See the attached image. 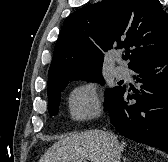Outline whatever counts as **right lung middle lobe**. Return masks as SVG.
Here are the masks:
<instances>
[{"label": "right lung middle lobe", "instance_id": "obj_1", "mask_svg": "<svg viewBox=\"0 0 168 162\" xmlns=\"http://www.w3.org/2000/svg\"><path fill=\"white\" fill-rule=\"evenodd\" d=\"M79 79L87 80V81H95L100 84H104L102 71H93L79 77L57 81L48 85V101H49L48 111L51 116L56 115L58 113V108H59L60 98H61V91H63L67 83L71 80H79ZM120 89H121V86H115L113 88L106 89L105 103H104L105 111L109 109L111 103L115 99Z\"/></svg>", "mask_w": 168, "mask_h": 162}]
</instances>
